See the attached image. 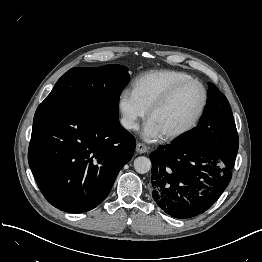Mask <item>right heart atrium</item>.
Here are the masks:
<instances>
[{"instance_id": "1", "label": "right heart atrium", "mask_w": 262, "mask_h": 262, "mask_svg": "<svg viewBox=\"0 0 262 262\" xmlns=\"http://www.w3.org/2000/svg\"><path fill=\"white\" fill-rule=\"evenodd\" d=\"M118 106L122 125L128 130H137L147 110L138 102L133 92L124 90L119 96Z\"/></svg>"}]
</instances>
